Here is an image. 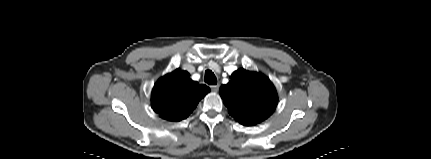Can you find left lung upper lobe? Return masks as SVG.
Instances as JSON below:
<instances>
[{"mask_svg":"<svg viewBox=\"0 0 431 159\" xmlns=\"http://www.w3.org/2000/svg\"><path fill=\"white\" fill-rule=\"evenodd\" d=\"M220 95L228 112L241 124L250 126L267 119L277 106V93L263 74L239 69L222 85Z\"/></svg>","mask_w":431,"mask_h":159,"instance_id":"5c2ea615","label":"left lung upper lobe"}]
</instances>
